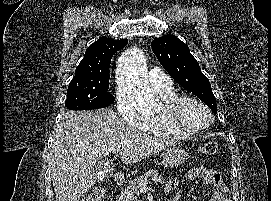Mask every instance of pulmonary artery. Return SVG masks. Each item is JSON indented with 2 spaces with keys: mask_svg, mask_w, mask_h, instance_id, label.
Returning a JSON list of instances; mask_svg holds the SVG:
<instances>
[{
  "mask_svg": "<svg viewBox=\"0 0 271 201\" xmlns=\"http://www.w3.org/2000/svg\"><path fill=\"white\" fill-rule=\"evenodd\" d=\"M149 81L157 89L169 88L172 84L170 77L164 71L157 68L150 69Z\"/></svg>",
  "mask_w": 271,
  "mask_h": 201,
  "instance_id": "1",
  "label": "pulmonary artery"
}]
</instances>
